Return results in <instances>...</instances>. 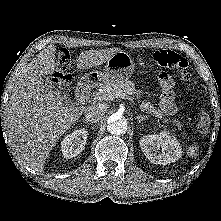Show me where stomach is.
<instances>
[{
	"instance_id": "obj_1",
	"label": "stomach",
	"mask_w": 221,
	"mask_h": 221,
	"mask_svg": "<svg viewBox=\"0 0 221 221\" xmlns=\"http://www.w3.org/2000/svg\"><path fill=\"white\" fill-rule=\"evenodd\" d=\"M134 67V59L128 53L119 51L107 60L103 72H92L91 76L101 85L122 83L132 76Z\"/></svg>"
}]
</instances>
